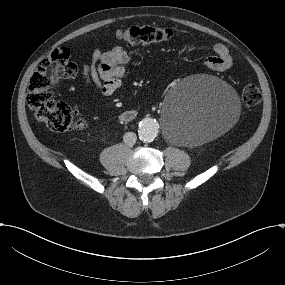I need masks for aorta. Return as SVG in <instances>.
<instances>
[{"label": "aorta", "mask_w": 285, "mask_h": 285, "mask_svg": "<svg viewBox=\"0 0 285 285\" xmlns=\"http://www.w3.org/2000/svg\"><path fill=\"white\" fill-rule=\"evenodd\" d=\"M159 124L156 120L145 118L140 122L138 135L140 140L144 142L153 141L158 134Z\"/></svg>", "instance_id": "obj_1"}]
</instances>
